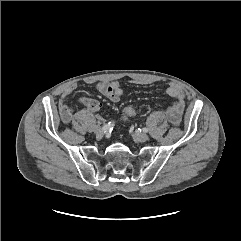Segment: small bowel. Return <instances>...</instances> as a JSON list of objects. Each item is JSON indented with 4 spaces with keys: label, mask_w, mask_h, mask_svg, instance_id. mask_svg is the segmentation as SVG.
I'll return each mask as SVG.
<instances>
[{
    "label": "small bowel",
    "mask_w": 241,
    "mask_h": 241,
    "mask_svg": "<svg viewBox=\"0 0 241 241\" xmlns=\"http://www.w3.org/2000/svg\"><path fill=\"white\" fill-rule=\"evenodd\" d=\"M76 87V83L69 84L59 99V114L61 121L65 124L70 123L74 116V107L68 105L67 98ZM96 89L112 103H118L121 96L124 94V89L118 81H100L96 84ZM164 91L175 99L174 103L166 110L167 118L172 125H178L181 122L185 109V94L175 83H169ZM78 104L93 112L101 108V103L98 100L88 97L81 98Z\"/></svg>",
    "instance_id": "obj_1"
}]
</instances>
